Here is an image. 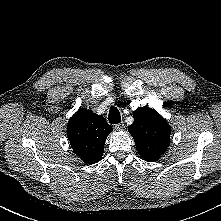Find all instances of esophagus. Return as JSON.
<instances>
[{"mask_svg": "<svg viewBox=\"0 0 221 221\" xmlns=\"http://www.w3.org/2000/svg\"><path fill=\"white\" fill-rule=\"evenodd\" d=\"M116 129H123L125 127L124 123L121 122V123H118L114 126Z\"/></svg>", "mask_w": 221, "mask_h": 221, "instance_id": "1", "label": "esophagus"}]
</instances>
